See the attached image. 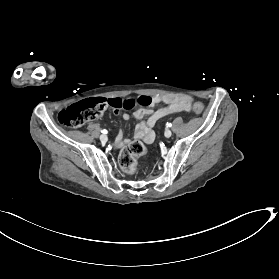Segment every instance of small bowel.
Wrapping results in <instances>:
<instances>
[{
  "label": "small bowel",
  "instance_id": "small-bowel-1",
  "mask_svg": "<svg viewBox=\"0 0 279 279\" xmlns=\"http://www.w3.org/2000/svg\"><path fill=\"white\" fill-rule=\"evenodd\" d=\"M154 102L165 103L167 105L157 110L140 108L134 112L135 118L139 120V123L134 131V138L143 140L149 144L155 139V134L152 128L161 118L170 114L189 111L192 104V100L188 97H171L164 95L154 96ZM145 116H148L147 121L142 120ZM122 117L123 119L128 120L130 115L128 113H124ZM128 143L129 140L125 138L124 132L120 130L116 136L113 146L116 149H120Z\"/></svg>",
  "mask_w": 279,
  "mask_h": 279
}]
</instances>
